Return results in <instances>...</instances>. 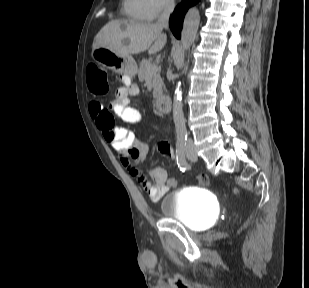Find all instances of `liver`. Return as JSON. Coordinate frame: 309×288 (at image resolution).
<instances>
[{"label":"liver","mask_w":309,"mask_h":288,"mask_svg":"<svg viewBox=\"0 0 309 288\" xmlns=\"http://www.w3.org/2000/svg\"><path fill=\"white\" fill-rule=\"evenodd\" d=\"M162 29L153 23L112 20L95 36L93 49L103 46L121 55L139 54L146 50L155 54L167 41Z\"/></svg>","instance_id":"obj_1"}]
</instances>
